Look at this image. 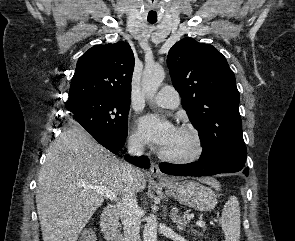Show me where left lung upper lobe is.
Returning <instances> with one entry per match:
<instances>
[{
  "label": "left lung upper lobe",
  "instance_id": "1",
  "mask_svg": "<svg viewBox=\"0 0 295 241\" xmlns=\"http://www.w3.org/2000/svg\"><path fill=\"white\" fill-rule=\"evenodd\" d=\"M172 83L199 131L202 159L228 157L246 162L239 92L225 57L212 45L184 38L169 51Z\"/></svg>",
  "mask_w": 295,
  "mask_h": 241
}]
</instances>
